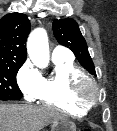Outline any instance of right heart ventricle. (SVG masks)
<instances>
[{
  "label": "right heart ventricle",
  "instance_id": "1",
  "mask_svg": "<svg viewBox=\"0 0 117 131\" xmlns=\"http://www.w3.org/2000/svg\"><path fill=\"white\" fill-rule=\"evenodd\" d=\"M53 71L42 77V85L36 99L43 105L50 106L73 116L88 114L91 105L77 98L72 86L77 78L84 75L74 63L73 58L53 59Z\"/></svg>",
  "mask_w": 117,
  "mask_h": 131
}]
</instances>
